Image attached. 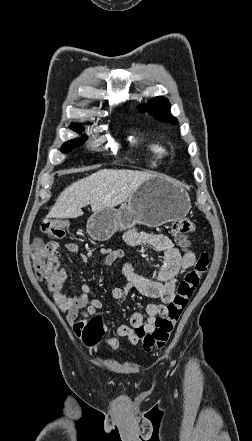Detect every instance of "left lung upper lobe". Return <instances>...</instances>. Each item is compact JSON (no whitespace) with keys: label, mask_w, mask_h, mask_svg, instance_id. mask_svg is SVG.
<instances>
[{"label":"left lung upper lobe","mask_w":252,"mask_h":441,"mask_svg":"<svg viewBox=\"0 0 252 441\" xmlns=\"http://www.w3.org/2000/svg\"><path fill=\"white\" fill-rule=\"evenodd\" d=\"M139 110L141 112L148 111L149 114L154 116L156 119L161 121H168L172 124L178 123L175 117H173L170 113V103L164 97H156L149 104L140 106Z\"/></svg>","instance_id":"left-lung-upper-lobe-1"}]
</instances>
